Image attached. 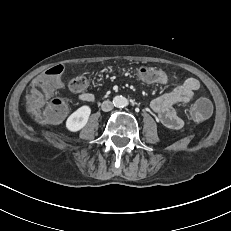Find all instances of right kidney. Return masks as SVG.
Returning <instances> with one entry per match:
<instances>
[{"label":"right kidney","instance_id":"right-kidney-1","mask_svg":"<svg viewBox=\"0 0 231 231\" xmlns=\"http://www.w3.org/2000/svg\"><path fill=\"white\" fill-rule=\"evenodd\" d=\"M91 114V108L84 105L73 112L66 121V128L70 132H77L81 130L88 122Z\"/></svg>","mask_w":231,"mask_h":231}]
</instances>
